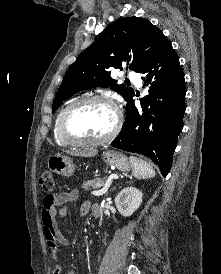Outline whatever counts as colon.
Instances as JSON below:
<instances>
[{"label": "colon", "instance_id": "1", "mask_svg": "<svg viewBox=\"0 0 221 274\" xmlns=\"http://www.w3.org/2000/svg\"><path fill=\"white\" fill-rule=\"evenodd\" d=\"M40 185L42 189L46 192H50L53 190L55 186V176L50 171H45L40 178Z\"/></svg>", "mask_w": 221, "mask_h": 274}]
</instances>
